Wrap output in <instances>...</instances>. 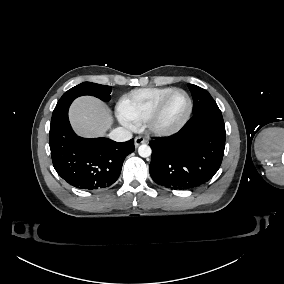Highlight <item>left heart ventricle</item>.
<instances>
[{"label": "left heart ventricle", "mask_w": 284, "mask_h": 284, "mask_svg": "<svg viewBox=\"0 0 284 284\" xmlns=\"http://www.w3.org/2000/svg\"><path fill=\"white\" fill-rule=\"evenodd\" d=\"M188 110V99L184 92L174 93L165 103L160 115L155 120V127L168 130L176 127L185 117Z\"/></svg>", "instance_id": "left-heart-ventricle-1"}]
</instances>
